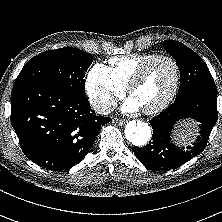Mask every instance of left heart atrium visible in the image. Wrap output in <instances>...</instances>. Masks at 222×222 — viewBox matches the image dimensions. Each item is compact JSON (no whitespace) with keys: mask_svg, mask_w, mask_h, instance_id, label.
Segmentation results:
<instances>
[{"mask_svg":"<svg viewBox=\"0 0 222 222\" xmlns=\"http://www.w3.org/2000/svg\"><path fill=\"white\" fill-rule=\"evenodd\" d=\"M140 103L137 101V99L133 96H130L123 105V111L125 112H133L141 109Z\"/></svg>","mask_w":222,"mask_h":222,"instance_id":"obj_1","label":"left heart atrium"}]
</instances>
